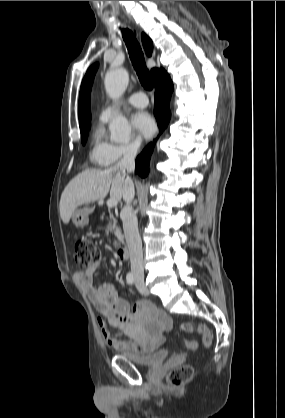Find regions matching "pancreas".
I'll use <instances>...</instances> for the list:
<instances>
[{
    "instance_id": "pancreas-1",
    "label": "pancreas",
    "mask_w": 285,
    "mask_h": 418,
    "mask_svg": "<svg viewBox=\"0 0 285 418\" xmlns=\"http://www.w3.org/2000/svg\"><path fill=\"white\" fill-rule=\"evenodd\" d=\"M112 233L115 235L117 241L114 242L115 246H118L119 243H123L124 236L121 232V228L117 226V220L112 213L109 215V224L106 228V233Z\"/></svg>"
}]
</instances>
